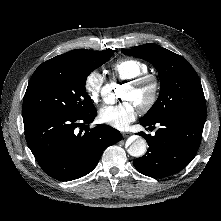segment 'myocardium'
<instances>
[{
    "label": "myocardium",
    "instance_id": "f54148a6",
    "mask_svg": "<svg viewBox=\"0 0 221 221\" xmlns=\"http://www.w3.org/2000/svg\"><path fill=\"white\" fill-rule=\"evenodd\" d=\"M128 85L135 88H149L148 97L138 107L141 112H148L154 107L160 95V79L157 75L146 72L127 81Z\"/></svg>",
    "mask_w": 221,
    "mask_h": 221
}]
</instances>
